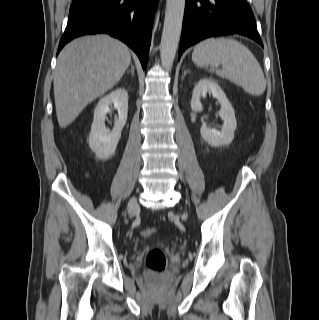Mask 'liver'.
I'll list each match as a JSON object with an SVG mask.
<instances>
[{"label": "liver", "mask_w": 319, "mask_h": 320, "mask_svg": "<svg viewBox=\"0 0 319 320\" xmlns=\"http://www.w3.org/2000/svg\"><path fill=\"white\" fill-rule=\"evenodd\" d=\"M130 62L129 48L108 35L80 37L67 44L58 56L53 81L60 128L116 85Z\"/></svg>", "instance_id": "obj_1"}]
</instances>
